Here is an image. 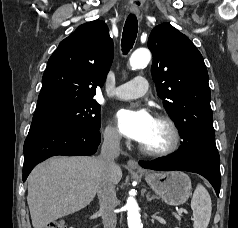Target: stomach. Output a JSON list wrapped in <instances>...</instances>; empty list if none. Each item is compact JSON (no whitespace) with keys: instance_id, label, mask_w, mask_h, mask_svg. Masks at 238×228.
<instances>
[{"instance_id":"obj_1","label":"stomach","mask_w":238,"mask_h":228,"mask_svg":"<svg viewBox=\"0 0 238 228\" xmlns=\"http://www.w3.org/2000/svg\"><path fill=\"white\" fill-rule=\"evenodd\" d=\"M144 176L151 189L169 205H182L191 195V180L183 172H150Z\"/></svg>"}]
</instances>
